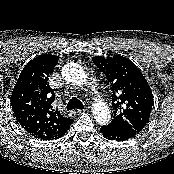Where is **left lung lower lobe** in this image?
Here are the masks:
<instances>
[{
    "mask_svg": "<svg viewBox=\"0 0 174 174\" xmlns=\"http://www.w3.org/2000/svg\"><path fill=\"white\" fill-rule=\"evenodd\" d=\"M100 131L104 138L109 140L124 141L135 136L134 134L117 130L109 125L102 126Z\"/></svg>",
    "mask_w": 174,
    "mask_h": 174,
    "instance_id": "0a47b994",
    "label": "left lung lower lobe"
}]
</instances>
